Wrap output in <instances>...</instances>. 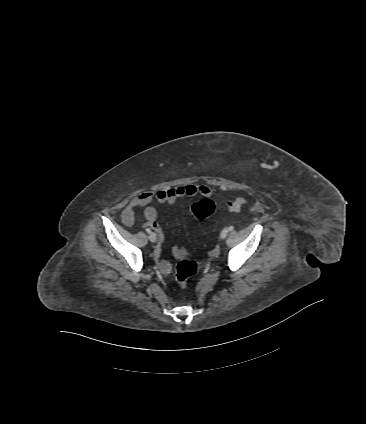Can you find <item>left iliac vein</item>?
<instances>
[{
    "mask_svg": "<svg viewBox=\"0 0 366 424\" xmlns=\"http://www.w3.org/2000/svg\"><path fill=\"white\" fill-rule=\"evenodd\" d=\"M227 234H228V229L227 228H224L222 231H221V234H220V236H221V238H226V236H227Z\"/></svg>",
    "mask_w": 366,
    "mask_h": 424,
    "instance_id": "left-iliac-vein-1",
    "label": "left iliac vein"
}]
</instances>
